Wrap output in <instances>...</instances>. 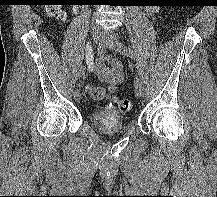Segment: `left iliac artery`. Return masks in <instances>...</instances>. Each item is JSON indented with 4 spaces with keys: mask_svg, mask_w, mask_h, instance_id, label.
<instances>
[{
    "mask_svg": "<svg viewBox=\"0 0 217 197\" xmlns=\"http://www.w3.org/2000/svg\"><path fill=\"white\" fill-rule=\"evenodd\" d=\"M115 45L119 52H121L124 56L129 59H133L135 57L134 52L131 48L125 46L118 38L115 36Z\"/></svg>",
    "mask_w": 217,
    "mask_h": 197,
    "instance_id": "left-iliac-artery-1",
    "label": "left iliac artery"
}]
</instances>
